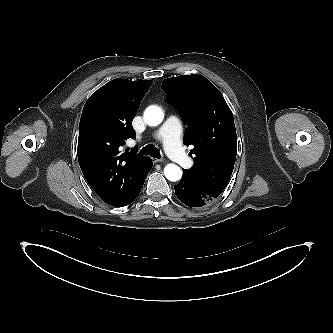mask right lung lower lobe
<instances>
[{"mask_svg":"<svg viewBox=\"0 0 333 333\" xmlns=\"http://www.w3.org/2000/svg\"><path fill=\"white\" fill-rule=\"evenodd\" d=\"M151 167H152V162L150 161L147 164L144 172L142 173V175H141V177H140V179H139V181H138V183L136 185L135 191L133 192L132 196L129 198V200L123 206H126V205L130 204L131 202H133L137 198V196L139 195V193H140V191L142 189V186L144 184V180H145L146 176L148 175Z\"/></svg>","mask_w":333,"mask_h":333,"instance_id":"1","label":"right lung lower lobe"}]
</instances>
